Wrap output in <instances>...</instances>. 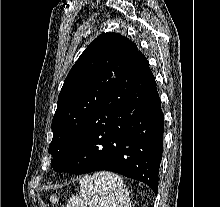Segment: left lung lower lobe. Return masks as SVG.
I'll return each instance as SVG.
<instances>
[{
	"label": "left lung lower lobe",
	"mask_w": 220,
	"mask_h": 207,
	"mask_svg": "<svg viewBox=\"0 0 220 207\" xmlns=\"http://www.w3.org/2000/svg\"><path fill=\"white\" fill-rule=\"evenodd\" d=\"M163 130L156 82L138 50L53 169L75 174L113 171L147 184L157 194Z\"/></svg>",
	"instance_id": "obj_1"
}]
</instances>
